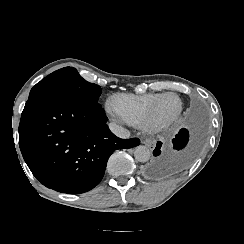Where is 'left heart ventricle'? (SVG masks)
Segmentation results:
<instances>
[{
    "label": "left heart ventricle",
    "mask_w": 244,
    "mask_h": 244,
    "mask_svg": "<svg viewBox=\"0 0 244 244\" xmlns=\"http://www.w3.org/2000/svg\"><path fill=\"white\" fill-rule=\"evenodd\" d=\"M177 106V100L172 96H167L161 99L159 107L164 114V118L170 115Z\"/></svg>",
    "instance_id": "b2bd125f"
}]
</instances>
